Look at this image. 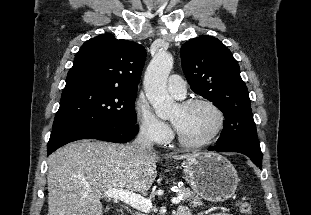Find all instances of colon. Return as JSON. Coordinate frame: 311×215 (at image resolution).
<instances>
[{
    "mask_svg": "<svg viewBox=\"0 0 311 215\" xmlns=\"http://www.w3.org/2000/svg\"><path fill=\"white\" fill-rule=\"evenodd\" d=\"M236 208L240 215H253L254 206L249 200H238Z\"/></svg>",
    "mask_w": 311,
    "mask_h": 215,
    "instance_id": "colon-1",
    "label": "colon"
}]
</instances>
